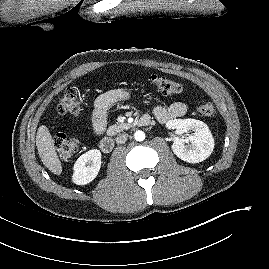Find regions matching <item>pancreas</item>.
Wrapping results in <instances>:
<instances>
[{
    "mask_svg": "<svg viewBox=\"0 0 269 269\" xmlns=\"http://www.w3.org/2000/svg\"><path fill=\"white\" fill-rule=\"evenodd\" d=\"M129 124H127V123H121V124H115V125H112V126H110L109 128H108V130H107V134L108 135H115V134H117V133H119V132H121V131H123V130H125V129H127V128H129Z\"/></svg>",
    "mask_w": 269,
    "mask_h": 269,
    "instance_id": "1",
    "label": "pancreas"
}]
</instances>
